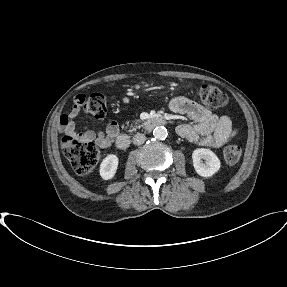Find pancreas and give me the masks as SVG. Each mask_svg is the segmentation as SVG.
<instances>
[{
    "instance_id": "1",
    "label": "pancreas",
    "mask_w": 287,
    "mask_h": 287,
    "mask_svg": "<svg viewBox=\"0 0 287 287\" xmlns=\"http://www.w3.org/2000/svg\"><path fill=\"white\" fill-rule=\"evenodd\" d=\"M128 125V122L126 123ZM133 127V126H131ZM140 126L138 124V122H135V126L132 128V130L138 129Z\"/></svg>"
}]
</instances>
